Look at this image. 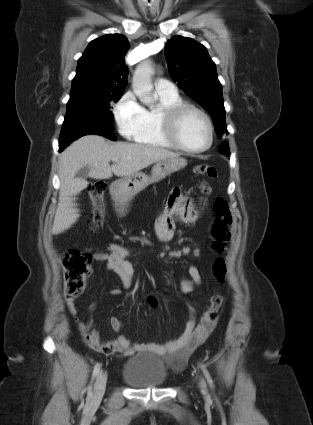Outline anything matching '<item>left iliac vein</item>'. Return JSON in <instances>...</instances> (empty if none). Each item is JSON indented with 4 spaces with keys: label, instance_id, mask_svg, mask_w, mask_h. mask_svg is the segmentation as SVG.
I'll return each mask as SVG.
<instances>
[{
    "label": "left iliac vein",
    "instance_id": "4c4485c4",
    "mask_svg": "<svg viewBox=\"0 0 313 425\" xmlns=\"http://www.w3.org/2000/svg\"><path fill=\"white\" fill-rule=\"evenodd\" d=\"M199 384H200L201 389L205 390V382L202 379L200 380Z\"/></svg>",
    "mask_w": 313,
    "mask_h": 425
}]
</instances>
